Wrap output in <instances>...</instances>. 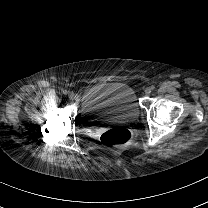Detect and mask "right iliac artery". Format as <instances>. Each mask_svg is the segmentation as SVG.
<instances>
[{"label": "right iliac artery", "instance_id": "1", "mask_svg": "<svg viewBox=\"0 0 208 208\" xmlns=\"http://www.w3.org/2000/svg\"><path fill=\"white\" fill-rule=\"evenodd\" d=\"M63 94H64V95H67V94H68V91H67V90H64V91H63Z\"/></svg>", "mask_w": 208, "mask_h": 208}]
</instances>
